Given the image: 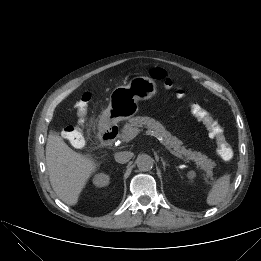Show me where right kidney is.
<instances>
[{
	"label": "right kidney",
	"instance_id": "obj_1",
	"mask_svg": "<svg viewBox=\"0 0 261 261\" xmlns=\"http://www.w3.org/2000/svg\"><path fill=\"white\" fill-rule=\"evenodd\" d=\"M109 180H110V178L108 175H106L104 173H100L95 176V178L93 179V183L97 187H104V186L108 185Z\"/></svg>",
	"mask_w": 261,
	"mask_h": 261
}]
</instances>
